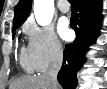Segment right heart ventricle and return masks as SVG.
<instances>
[{
  "instance_id": "e07e8e85",
  "label": "right heart ventricle",
  "mask_w": 107,
  "mask_h": 89,
  "mask_svg": "<svg viewBox=\"0 0 107 89\" xmlns=\"http://www.w3.org/2000/svg\"><path fill=\"white\" fill-rule=\"evenodd\" d=\"M19 59H20V64H21L22 68L26 72L31 73V72L35 71V67L33 65V62H32L28 49L23 48L21 50Z\"/></svg>"
}]
</instances>
